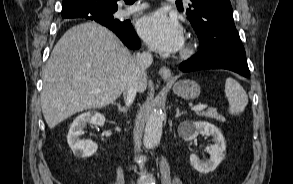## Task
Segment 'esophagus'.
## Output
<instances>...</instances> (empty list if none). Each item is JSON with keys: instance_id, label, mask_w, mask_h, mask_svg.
<instances>
[{"instance_id": "34e87169", "label": "esophagus", "mask_w": 293, "mask_h": 184, "mask_svg": "<svg viewBox=\"0 0 293 184\" xmlns=\"http://www.w3.org/2000/svg\"><path fill=\"white\" fill-rule=\"evenodd\" d=\"M159 75L162 77L164 80H170L172 78V73L170 69L166 66H162L159 69Z\"/></svg>"}]
</instances>
